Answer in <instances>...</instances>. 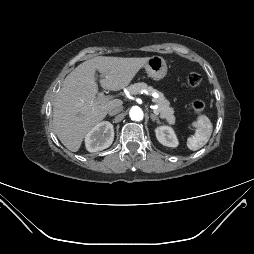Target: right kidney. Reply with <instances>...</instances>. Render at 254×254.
<instances>
[{
  "instance_id": "right-kidney-1",
  "label": "right kidney",
  "mask_w": 254,
  "mask_h": 254,
  "mask_svg": "<svg viewBox=\"0 0 254 254\" xmlns=\"http://www.w3.org/2000/svg\"><path fill=\"white\" fill-rule=\"evenodd\" d=\"M114 140V129L110 122L96 124L85 137V146L89 152H97L108 148Z\"/></svg>"
}]
</instances>
